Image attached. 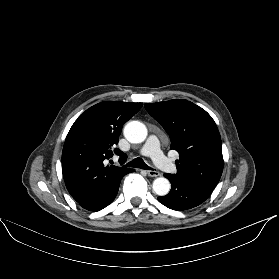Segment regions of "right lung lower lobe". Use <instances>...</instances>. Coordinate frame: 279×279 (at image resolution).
I'll list each match as a JSON object with an SVG mask.
<instances>
[{
    "label": "right lung lower lobe",
    "mask_w": 279,
    "mask_h": 279,
    "mask_svg": "<svg viewBox=\"0 0 279 279\" xmlns=\"http://www.w3.org/2000/svg\"><path fill=\"white\" fill-rule=\"evenodd\" d=\"M120 182L115 184L106 194L102 197L90 201L88 203L80 204L83 208L90 211H99L109 205L118 193Z\"/></svg>",
    "instance_id": "obj_1"
}]
</instances>
